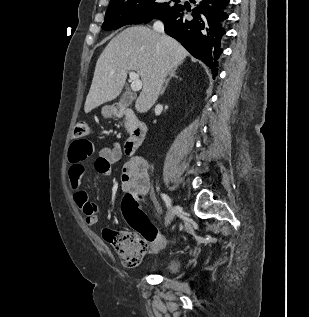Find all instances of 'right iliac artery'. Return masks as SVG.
I'll return each mask as SVG.
<instances>
[{"label":"right iliac artery","mask_w":309,"mask_h":317,"mask_svg":"<svg viewBox=\"0 0 309 317\" xmlns=\"http://www.w3.org/2000/svg\"><path fill=\"white\" fill-rule=\"evenodd\" d=\"M162 199L165 201L166 206L170 208L171 206V199L166 194H161Z\"/></svg>","instance_id":"right-iliac-artery-1"}]
</instances>
